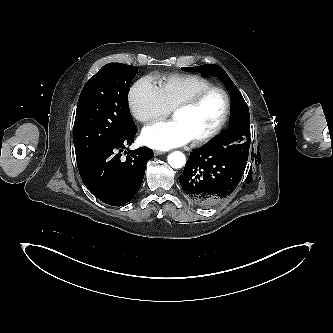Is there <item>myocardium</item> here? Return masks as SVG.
I'll return each instance as SVG.
<instances>
[{"instance_id":"obj_1","label":"myocardium","mask_w":333,"mask_h":333,"mask_svg":"<svg viewBox=\"0 0 333 333\" xmlns=\"http://www.w3.org/2000/svg\"><path fill=\"white\" fill-rule=\"evenodd\" d=\"M213 92H218L224 97L225 109H224L223 115H222L219 123L215 126L214 129H212L209 133L205 134L204 136L192 140V144L194 146H202V145L207 144L208 142H210L211 140L216 138L225 128V126L229 120L230 113H231V99H230L228 92L222 87L210 86V87L200 90L199 92H197L196 94H194L193 96L188 98L187 100L179 103L173 109V115L178 111L193 109L196 106H198L209 94H211Z\"/></svg>"}]
</instances>
